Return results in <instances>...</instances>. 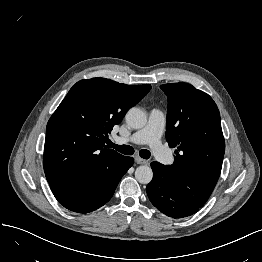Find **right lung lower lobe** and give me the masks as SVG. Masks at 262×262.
I'll use <instances>...</instances> for the list:
<instances>
[{
	"instance_id": "obj_1",
	"label": "right lung lower lobe",
	"mask_w": 262,
	"mask_h": 262,
	"mask_svg": "<svg viewBox=\"0 0 262 262\" xmlns=\"http://www.w3.org/2000/svg\"><path fill=\"white\" fill-rule=\"evenodd\" d=\"M132 165L133 158L123 156L104 184L51 187V190L65 208L78 213H88L100 208L111 199L122 176Z\"/></svg>"
}]
</instances>
